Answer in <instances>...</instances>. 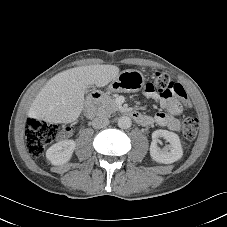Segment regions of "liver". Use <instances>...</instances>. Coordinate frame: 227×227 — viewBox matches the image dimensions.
<instances>
[{
	"label": "liver",
	"instance_id": "obj_1",
	"mask_svg": "<svg viewBox=\"0 0 227 227\" xmlns=\"http://www.w3.org/2000/svg\"><path fill=\"white\" fill-rule=\"evenodd\" d=\"M119 74L114 65H90L65 70L52 77L38 93L30 115L50 123H71L78 119L84 93L90 85L104 87Z\"/></svg>",
	"mask_w": 227,
	"mask_h": 227
}]
</instances>
